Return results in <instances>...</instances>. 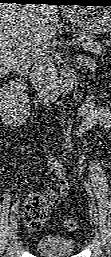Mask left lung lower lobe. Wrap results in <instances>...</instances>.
<instances>
[{"instance_id":"left-lung-lower-lobe-1","label":"left lung lower lobe","mask_w":111,"mask_h":257,"mask_svg":"<svg viewBox=\"0 0 111 257\" xmlns=\"http://www.w3.org/2000/svg\"><path fill=\"white\" fill-rule=\"evenodd\" d=\"M70 4H78L82 6L92 5V4H99L105 6H111V0H69Z\"/></svg>"}]
</instances>
